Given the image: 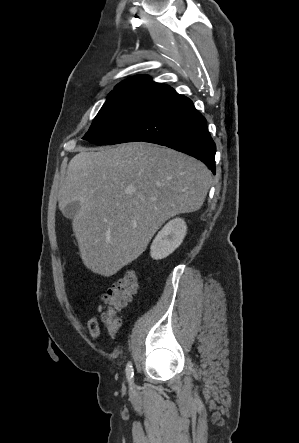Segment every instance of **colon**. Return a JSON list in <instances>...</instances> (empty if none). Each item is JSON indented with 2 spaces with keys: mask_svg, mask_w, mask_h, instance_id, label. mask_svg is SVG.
I'll return each mask as SVG.
<instances>
[{
  "mask_svg": "<svg viewBox=\"0 0 299 443\" xmlns=\"http://www.w3.org/2000/svg\"><path fill=\"white\" fill-rule=\"evenodd\" d=\"M137 288V273L133 269H128L103 294L105 309L101 314V320L108 332L115 334L118 331L120 320L117 313L129 303Z\"/></svg>",
  "mask_w": 299,
  "mask_h": 443,
  "instance_id": "1",
  "label": "colon"
}]
</instances>
